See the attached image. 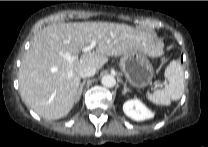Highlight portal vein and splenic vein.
<instances>
[{
    "mask_svg": "<svg viewBox=\"0 0 208 147\" xmlns=\"http://www.w3.org/2000/svg\"><path fill=\"white\" fill-rule=\"evenodd\" d=\"M95 47H96V41L94 39H92L90 45L84 47L82 49V52H84V53L89 52ZM63 57H64V59H66L69 62H72L75 59L73 56H71L69 54H65V55H63Z\"/></svg>",
    "mask_w": 208,
    "mask_h": 147,
    "instance_id": "1",
    "label": "portal vein and splenic vein"
}]
</instances>
